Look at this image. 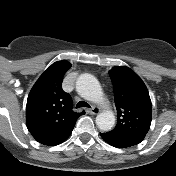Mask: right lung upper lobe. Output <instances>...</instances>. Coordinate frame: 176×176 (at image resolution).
I'll return each mask as SVG.
<instances>
[{"mask_svg": "<svg viewBox=\"0 0 176 176\" xmlns=\"http://www.w3.org/2000/svg\"><path fill=\"white\" fill-rule=\"evenodd\" d=\"M66 61L52 64L33 86L27 100V127L45 145H57L68 137L81 115L72 110L70 94L62 90V79L70 68Z\"/></svg>", "mask_w": 176, "mask_h": 176, "instance_id": "1", "label": "right lung upper lobe"}]
</instances>
